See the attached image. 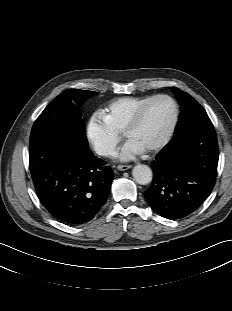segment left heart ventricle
Wrapping results in <instances>:
<instances>
[{"label":"left heart ventricle","mask_w":232,"mask_h":311,"mask_svg":"<svg viewBox=\"0 0 232 311\" xmlns=\"http://www.w3.org/2000/svg\"><path fill=\"white\" fill-rule=\"evenodd\" d=\"M173 112V106L168 100L160 99L153 102L147 108L141 122L128 135V139L147 149L165 134Z\"/></svg>","instance_id":"left-heart-ventricle-1"}]
</instances>
